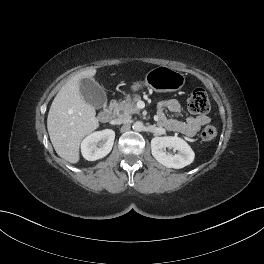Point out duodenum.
<instances>
[{
  "label": "duodenum",
  "mask_w": 264,
  "mask_h": 264,
  "mask_svg": "<svg viewBox=\"0 0 264 264\" xmlns=\"http://www.w3.org/2000/svg\"><path fill=\"white\" fill-rule=\"evenodd\" d=\"M114 114H115V108L113 105H110L100 112L99 120L102 123L109 122L114 117Z\"/></svg>",
  "instance_id": "410a0bca"
}]
</instances>
